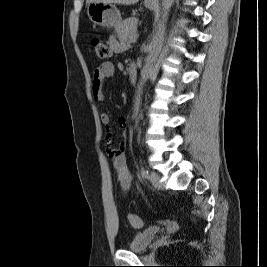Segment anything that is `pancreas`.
<instances>
[{"instance_id":"cf45deb5","label":"pancreas","mask_w":267,"mask_h":267,"mask_svg":"<svg viewBox=\"0 0 267 267\" xmlns=\"http://www.w3.org/2000/svg\"><path fill=\"white\" fill-rule=\"evenodd\" d=\"M138 19L135 17L124 20L120 25L116 27V33L119 39L130 37L137 32Z\"/></svg>"}]
</instances>
